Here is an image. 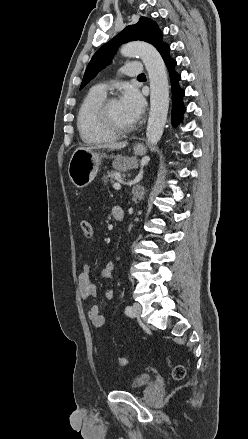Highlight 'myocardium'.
Returning <instances> with one entry per match:
<instances>
[{"mask_svg": "<svg viewBox=\"0 0 248 439\" xmlns=\"http://www.w3.org/2000/svg\"><path fill=\"white\" fill-rule=\"evenodd\" d=\"M115 100H117L115 97L104 98L96 110V119L101 127L107 132L115 136L126 135L134 130L135 124H132L128 127H119L113 123L110 116L109 107L110 104Z\"/></svg>", "mask_w": 248, "mask_h": 439, "instance_id": "1", "label": "myocardium"}]
</instances>
